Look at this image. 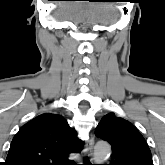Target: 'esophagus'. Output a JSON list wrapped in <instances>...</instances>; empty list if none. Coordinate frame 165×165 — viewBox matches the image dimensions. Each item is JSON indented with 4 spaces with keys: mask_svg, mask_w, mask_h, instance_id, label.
<instances>
[{
    "mask_svg": "<svg viewBox=\"0 0 165 165\" xmlns=\"http://www.w3.org/2000/svg\"><path fill=\"white\" fill-rule=\"evenodd\" d=\"M93 147H94V138L91 136L85 144L84 151H85L86 155L92 156Z\"/></svg>",
    "mask_w": 165,
    "mask_h": 165,
    "instance_id": "1",
    "label": "esophagus"
}]
</instances>
